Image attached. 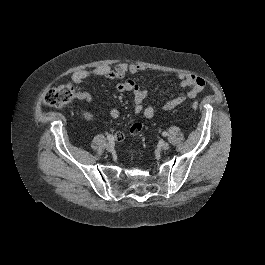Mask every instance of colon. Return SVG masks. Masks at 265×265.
Wrapping results in <instances>:
<instances>
[{
	"label": "colon",
	"mask_w": 265,
	"mask_h": 265,
	"mask_svg": "<svg viewBox=\"0 0 265 265\" xmlns=\"http://www.w3.org/2000/svg\"><path fill=\"white\" fill-rule=\"evenodd\" d=\"M77 97V92L73 85L64 84L49 89L43 98L44 103L52 108L61 109L71 103ZM199 104L193 102L191 107L193 110L198 108Z\"/></svg>",
	"instance_id": "1"
}]
</instances>
